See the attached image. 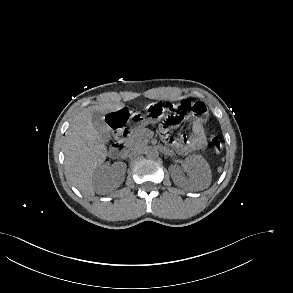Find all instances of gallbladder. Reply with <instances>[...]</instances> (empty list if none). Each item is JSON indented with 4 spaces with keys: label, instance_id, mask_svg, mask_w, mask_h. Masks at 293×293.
Returning a JSON list of instances; mask_svg holds the SVG:
<instances>
[{
    "label": "gallbladder",
    "instance_id": "1",
    "mask_svg": "<svg viewBox=\"0 0 293 293\" xmlns=\"http://www.w3.org/2000/svg\"><path fill=\"white\" fill-rule=\"evenodd\" d=\"M92 122L97 132L104 138L109 139L111 135V129L103 120V112L94 111L92 115Z\"/></svg>",
    "mask_w": 293,
    "mask_h": 293
}]
</instances>
